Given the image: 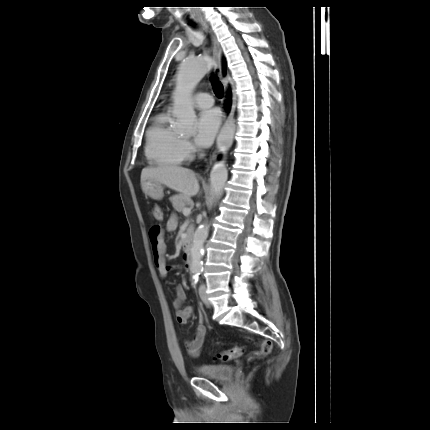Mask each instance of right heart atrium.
I'll return each mask as SVG.
<instances>
[{"label":"right heart atrium","mask_w":430,"mask_h":430,"mask_svg":"<svg viewBox=\"0 0 430 430\" xmlns=\"http://www.w3.org/2000/svg\"><path fill=\"white\" fill-rule=\"evenodd\" d=\"M181 148L187 157H191L196 151L194 145L187 139H182Z\"/></svg>","instance_id":"d8ad5b80"}]
</instances>
